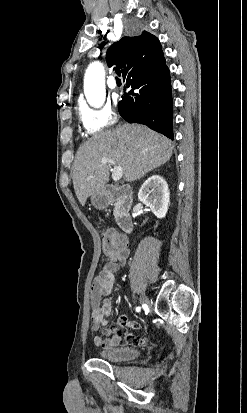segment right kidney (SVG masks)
I'll list each match as a JSON object with an SVG mask.
<instances>
[{
  "label": "right kidney",
  "mask_w": 247,
  "mask_h": 413,
  "mask_svg": "<svg viewBox=\"0 0 247 413\" xmlns=\"http://www.w3.org/2000/svg\"><path fill=\"white\" fill-rule=\"evenodd\" d=\"M169 196L168 184L160 174L149 176L138 192L139 200L144 202L146 207H150L158 219H163L168 211Z\"/></svg>",
  "instance_id": "right-kidney-1"
}]
</instances>
